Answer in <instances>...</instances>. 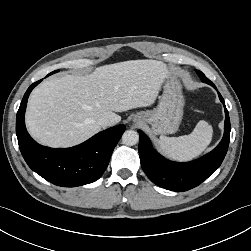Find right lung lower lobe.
<instances>
[{"label":"right lung lower lobe","mask_w":251,"mask_h":251,"mask_svg":"<svg viewBox=\"0 0 251 251\" xmlns=\"http://www.w3.org/2000/svg\"><path fill=\"white\" fill-rule=\"evenodd\" d=\"M40 81L27 89L17 112L16 134L23 158L33 171L58 186L75 187L96 181L107 168L125 126L111 127L71 148L39 145L26 130L24 115L29 94Z\"/></svg>","instance_id":"98d812e1"}]
</instances>
